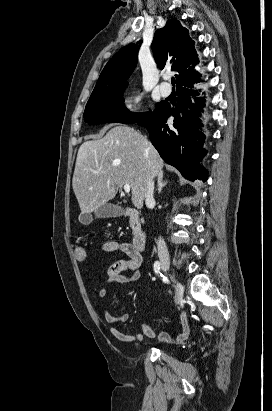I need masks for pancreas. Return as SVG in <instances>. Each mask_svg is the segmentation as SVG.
Instances as JSON below:
<instances>
[{
    "instance_id": "1",
    "label": "pancreas",
    "mask_w": 272,
    "mask_h": 411,
    "mask_svg": "<svg viewBox=\"0 0 272 411\" xmlns=\"http://www.w3.org/2000/svg\"><path fill=\"white\" fill-rule=\"evenodd\" d=\"M131 225H132L133 231H136V230H139V229H140V223H139V222L137 223V226H136V227L134 226L133 223H132Z\"/></svg>"
}]
</instances>
